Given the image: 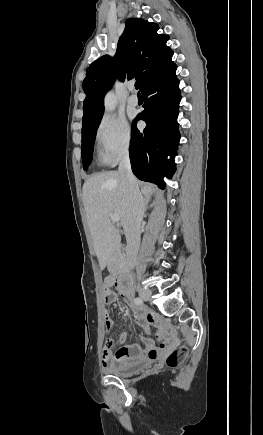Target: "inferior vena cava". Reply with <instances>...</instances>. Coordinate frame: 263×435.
Listing matches in <instances>:
<instances>
[{
	"mask_svg": "<svg viewBox=\"0 0 263 435\" xmlns=\"http://www.w3.org/2000/svg\"><path fill=\"white\" fill-rule=\"evenodd\" d=\"M118 172L122 178L127 199L129 223L125 229L127 240L126 256L130 268L135 265L140 245V231L145 211V202L131 170L129 154L126 153L119 164Z\"/></svg>",
	"mask_w": 263,
	"mask_h": 435,
	"instance_id": "inferior-vena-cava-1",
	"label": "inferior vena cava"
}]
</instances>
